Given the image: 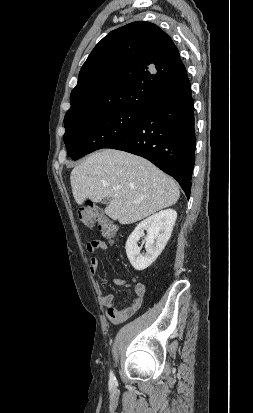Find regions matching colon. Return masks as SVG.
Returning a JSON list of instances; mask_svg holds the SVG:
<instances>
[{
  "mask_svg": "<svg viewBox=\"0 0 253 413\" xmlns=\"http://www.w3.org/2000/svg\"><path fill=\"white\" fill-rule=\"evenodd\" d=\"M80 223L86 228H91L97 222L103 236L109 241H114L117 236V229L114 223L103 213L102 209L93 204L87 203L78 210Z\"/></svg>",
  "mask_w": 253,
  "mask_h": 413,
  "instance_id": "1",
  "label": "colon"
}]
</instances>
